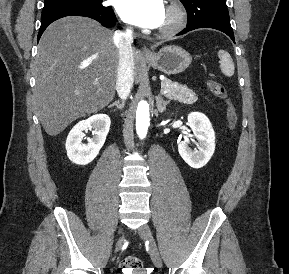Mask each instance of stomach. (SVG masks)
<instances>
[{"label":"stomach","mask_w":289,"mask_h":274,"mask_svg":"<svg viewBox=\"0 0 289 274\" xmlns=\"http://www.w3.org/2000/svg\"><path fill=\"white\" fill-rule=\"evenodd\" d=\"M155 69L167 74L176 75L183 72L192 61L191 55L183 48L175 45L165 46L158 53L145 57Z\"/></svg>","instance_id":"0dacf381"}]
</instances>
